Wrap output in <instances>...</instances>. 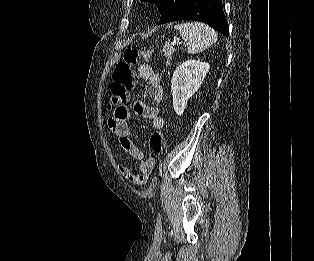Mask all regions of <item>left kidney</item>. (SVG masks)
Wrapping results in <instances>:
<instances>
[{
	"mask_svg": "<svg viewBox=\"0 0 314 261\" xmlns=\"http://www.w3.org/2000/svg\"><path fill=\"white\" fill-rule=\"evenodd\" d=\"M209 67L207 62L187 60L175 69L171 82V93L177 115L181 116L184 113L189 98L201 86Z\"/></svg>",
	"mask_w": 314,
	"mask_h": 261,
	"instance_id": "1",
	"label": "left kidney"
}]
</instances>
